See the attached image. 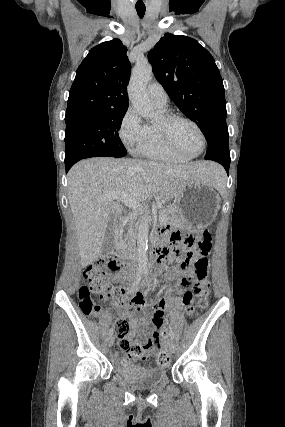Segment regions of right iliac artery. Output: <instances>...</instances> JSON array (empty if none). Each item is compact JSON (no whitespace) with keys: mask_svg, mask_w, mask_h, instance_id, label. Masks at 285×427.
<instances>
[{"mask_svg":"<svg viewBox=\"0 0 285 427\" xmlns=\"http://www.w3.org/2000/svg\"><path fill=\"white\" fill-rule=\"evenodd\" d=\"M141 275H142V270L139 271L138 276H137V281L133 283V287L132 288H134L138 284V282L141 279ZM112 334H113V328H111L109 330V335H112Z\"/></svg>","mask_w":285,"mask_h":427,"instance_id":"82829eb1","label":"right iliac artery"}]
</instances>
